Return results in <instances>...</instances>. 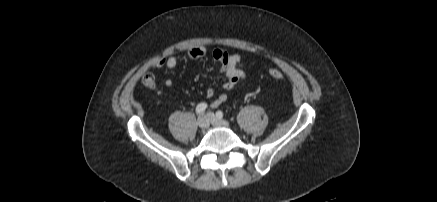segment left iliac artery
I'll list each match as a JSON object with an SVG mask.
<instances>
[{
  "instance_id": "left-iliac-artery-1",
  "label": "left iliac artery",
  "mask_w": 437,
  "mask_h": 202,
  "mask_svg": "<svg viewBox=\"0 0 437 202\" xmlns=\"http://www.w3.org/2000/svg\"><path fill=\"white\" fill-rule=\"evenodd\" d=\"M216 117L221 119L223 117V112L222 111H217L216 112Z\"/></svg>"
}]
</instances>
